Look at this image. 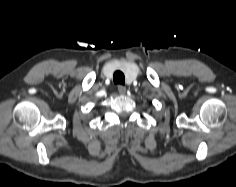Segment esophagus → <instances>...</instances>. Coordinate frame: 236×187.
I'll return each mask as SVG.
<instances>
[{
    "mask_svg": "<svg viewBox=\"0 0 236 187\" xmlns=\"http://www.w3.org/2000/svg\"><path fill=\"white\" fill-rule=\"evenodd\" d=\"M118 92H119V94H121V95H125V93H126V88H125L123 85H119V86H118Z\"/></svg>",
    "mask_w": 236,
    "mask_h": 187,
    "instance_id": "esophagus-1",
    "label": "esophagus"
}]
</instances>
